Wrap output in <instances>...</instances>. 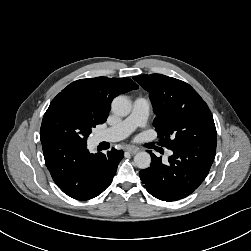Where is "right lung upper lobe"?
I'll return each instance as SVG.
<instances>
[{"label": "right lung upper lobe", "instance_id": "cb5924a9", "mask_svg": "<svg viewBox=\"0 0 251 251\" xmlns=\"http://www.w3.org/2000/svg\"><path fill=\"white\" fill-rule=\"evenodd\" d=\"M138 88L130 78L96 77L80 79L69 84L51 103L70 100L84 108L102 124L106 121L111 101L118 95Z\"/></svg>", "mask_w": 251, "mask_h": 251}]
</instances>
